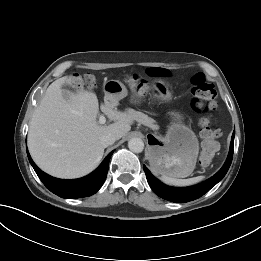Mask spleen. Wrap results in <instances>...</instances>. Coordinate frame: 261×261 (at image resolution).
I'll return each instance as SVG.
<instances>
[{
	"label": "spleen",
	"mask_w": 261,
	"mask_h": 261,
	"mask_svg": "<svg viewBox=\"0 0 261 261\" xmlns=\"http://www.w3.org/2000/svg\"><path fill=\"white\" fill-rule=\"evenodd\" d=\"M204 176H197L189 179H177L167 175H162L161 179L164 183L173 186H188L200 182Z\"/></svg>",
	"instance_id": "obj_1"
}]
</instances>
